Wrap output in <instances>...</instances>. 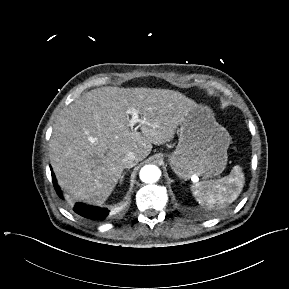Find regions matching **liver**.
Instances as JSON below:
<instances>
[{
  "mask_svg": "<svg viewBox=\"0 0 289 289\" xmlns=\"http://www.w3.org/2000/svg\"><path fill=\"white\" fill-rule=\"evenodd\" d=\"M196 103L178 91L101 87L84 93L56 119L50 161L60 187L77 201L102 205L114 190L129 152L140 161L153 145L170 142ZM138 111L141 132L129 126Z\"/></svg>",
  "mask_w": 289,
  "mask_h": 289,
  "instance_id": "obj_1",
  "label": "liver"
}]
</instances>
